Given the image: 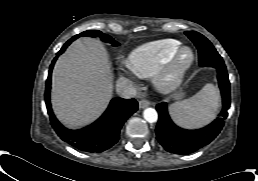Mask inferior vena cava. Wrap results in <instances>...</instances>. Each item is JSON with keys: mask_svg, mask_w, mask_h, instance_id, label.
Returning a JSON list of instances; mask_svg holds the SVG:
<instances>
[{"mask_svg": "<svg viewBox=\"0 0 258 181\" xmlns=\"http://www.w3.org/2000/svg\"><path fill=\"white\" fill-rule=\"evenodd\" d=\"M116 91L118 95L125 99H130L136 96L137 89L132 81L127 78H119L116 83Z\"/></svg>", "mask_w": 258, "mask_h": 181, "instance_id": "1", "label": "inferior vena cava"}]
</instances>
